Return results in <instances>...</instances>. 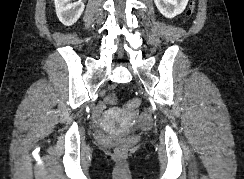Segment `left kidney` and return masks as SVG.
Listing matches in <instances>:
<instances>
[{"instance_id":"left-kidney-1","label":"left kidney","mask_w":244,"mask_h":179,"mask_svg":"<svg viewBox=\"0 0 244 179\" xmlns=\"http://www.w3.org/2000/svg\"><path fill=\"white\" fill-rule=\"evenodd\" d=\"M159 12L165 18H175L184 12L188 0H154Z\"/></svg>"}]
</instances>
